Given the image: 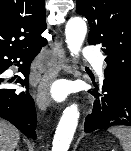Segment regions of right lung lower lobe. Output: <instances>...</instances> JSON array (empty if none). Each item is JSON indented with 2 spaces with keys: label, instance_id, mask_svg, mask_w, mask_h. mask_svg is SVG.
<instances>
[{
  "label": "right lung lower lobe",
  "instance_id": "obj_1",
  "mask_svg": "<svg viewBox=\"0 0 131 151\" xmlns=\"http://www.w3.org/2000/svg\"><path fill=\"white\" fill-rule=\"evenodd\" d=\"M43 46L45 44L22 51H1L0 75L13 63L18 66V63L22 62L20 71L25 79L19 78L17 82L28 88L30 64ZM5 82L0 77V117L11 122L26 136L36 139V111L33 98L28 92L16 93L15 89L5 88Z\"/></svg>",
  "mask_w": 131,
  "mask_h": 151
}]
</instances>
